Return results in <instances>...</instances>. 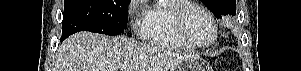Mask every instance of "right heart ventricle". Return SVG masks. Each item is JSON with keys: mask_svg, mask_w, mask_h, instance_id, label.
<instances>
[{"mask_svg": "<svg viewBox=\"0 0 301 71\" xmlns=\"http://www.w3.org/2000/svg\"><path fill=\"white\" fill-rule=\"evenodd\" d=\"M184 0H160L148 7L141 24V37L156 46L175 50H190L192 47L183 41L172 18V9Z\"/></svg>", "mask_w": 301, "mask_h": 71, "instance_id": "1", "label": "right heart ventricle"}]
</instances>
